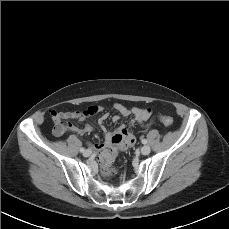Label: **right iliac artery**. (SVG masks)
Returning <instances> with one entry per match:
<instances>
[{"instance_id":"1","label":"right iliac artery","mask_w":229,"mask_h":229,"mask_svg":"<svg viewBox=\"0 0 229 229\" xmlns=\"http://www.w3.org/2000/svg\"><path fill=\"white\" fill-rule=\"evenodd\" d=\"M85 151V148H80V152H84Z\"/></svg>"}]
</instances>
